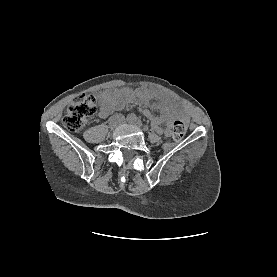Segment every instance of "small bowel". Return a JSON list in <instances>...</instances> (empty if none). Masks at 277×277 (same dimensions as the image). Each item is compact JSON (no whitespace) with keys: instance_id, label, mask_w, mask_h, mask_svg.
Listing matches in <instances>:
<instances>
[{"instance_id":"c3829d8e","label":"small bowel","mask_w":277,"mask_h":277,"mask_svg":"<svg viewBox=\"0 0 277 277\" xmlns=\"http://www.w3.org/2000/svg\"><path fill=\"white\" fill-rule=\"evenodd\" d=\"M99 99L101 101L99 111L101 118L107 117L113 111L120 110L134 101L143 102L160 110L161 114L159 116L152 115L148 109H141V112L150 119L152 127L158 133L163 132L161 125L165 123L167 125L166 135L171 134L172 121L179 113L173 97L158 90L125 88L103 92L99 95Z\"/></svg>"}]
</instances>
